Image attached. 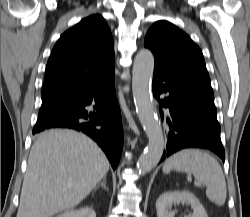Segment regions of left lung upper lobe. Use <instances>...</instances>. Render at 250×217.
Masks as SVG:
<instances>
[{
  "label": "left lung upper lobe",
  "mask_w": 250,
  "mask_h": 217,
  "mask_svg": "<svg viewBox=\"0 0 250 217\" xmlns=\"http://www.w3.org/2000/svg\"><path fill=\"white\" fill-rule=\"evenodd\" d=\"M145 47L155 57V67L169 73L209 78L200 48L172 23L161 20L146 34Z\"/></svg>",
  "instance_id": "1"
}]
</instances>
